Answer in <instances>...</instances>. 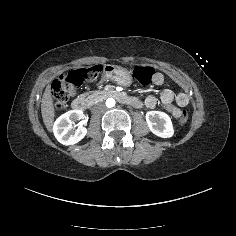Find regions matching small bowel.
<instances>
[{
    "label": "small bowel",
    "instance_id": "small-bowel-1",
    "mask_svg": "<svg viewBox=\"0 0 236 236\" xmlns=\"http://www.w3.org/2000/svg\"><path fill=\"white\" fill-rule=\"evenodd\" d=\"M163 82V76L160 73H156L153 79L155 85H161ZM162 100L169 112L176 118L181 115L179 106H186L188 104V98L185 94H180L177 97V105L173 104V94L170 91H165ZM146 105L149 108H153L156 105V98L154 96H148L146 98Z\"/></svg>",
    "mask_w": 236,
    "mask_h": 236
}]
</instances>
